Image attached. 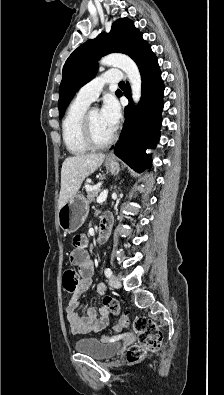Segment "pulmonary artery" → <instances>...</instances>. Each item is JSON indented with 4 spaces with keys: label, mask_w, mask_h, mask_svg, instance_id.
Instances as JSON below:
<instances>
[{
    "label": "pulmonary artery",
    "mask_w": 224,
    "mask_h": 395,
    "mask_svg": "<svg viewBox=\"0 0 224 395\" xmlns=\"http://www.w3.org/2000/svg\"><path fill=\"white\" fill-rule=\"evenodd\" d=\"M122 71L118 69L107 70L102 75L85 84L77 93L76 98L91 103L97 99L103 87L108 83L121 81Z\"/></svg>",
    "instance_id": "1"
}]
</instances>
